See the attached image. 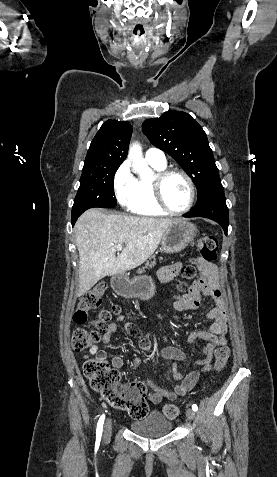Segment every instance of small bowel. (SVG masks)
Masks as SVG:
<instances>
[{"mask_svg": "<svg viewBox=\"0 0 277 477\" xmlns=\"http://www.w3.org/2000/svg\"><path fill=\"white\" fill-rule=\"evenodd\" d=\"M196 265L200 274V280L191 287L185 297L175 304V308L180 311L197 308L200 305L202 294L213 300L214 306L206 314V318L209 321L207 329L194 331L190 333L187 339L189 344H197L199 340L206 341L203 347L204 358L194 361L193 365L198 367V369L189 373H181L175 365L173 366L171 371L172 376L179 382L173 390L160 388L151 379H146L147 385L152 389V392L149 394V400L153 404H157L163 399L175 400L192 390L197 384L200 374L211 370L214 349L216 347L225 346L227 343L225 337L227 332V308L220 289L219 271L213 263L202 257L197 258ZM182 267L183 265L181 263L163 267L158 274L160 281L168 282L172 280L179 274ZM123 321H125V317L120 315L115 321L108 325L106 332L101 337V341L104 344L110 343L111 336L117 330L118 323ZM124 328L128 334L139 339L138 344L140 349L144 351L151 349L150 340L141 334L136 325L125 323ZM89 352L95 356H106V352L100 350L97 345L91 346ZM160 355L162 358L173 362L187 359L186 354L180 348L174 346L163 348ZM111 363L115 370H120L124 365V360L120 355H114L111 359ZM142 363L143 360L141 358L134 359L132 363L133 369L136 370Z\"/></svg>", "mask_w": 277, "mask_h": 477, "instance_id": "1", "label": "small bowel"}]
</instances>
